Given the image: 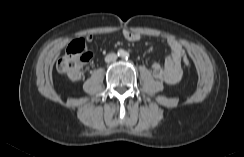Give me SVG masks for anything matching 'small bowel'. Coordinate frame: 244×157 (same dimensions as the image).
Instances as JSON below:
<instances>
[{"label": "small bowel", "mask_w": 244, "mask_h": 157, "mask_svg": "<svg viewBox=\"0 0 244 157\" xmlns=\"http://www.w3.org/2000/svg\"><path fill=\"white\" fill-rule=\"evenodd\" d=\"M123 36L126 40L131 42L139 41L141 38L139 33L131 32L129 30L123 31ZM86 39L88 42H91L93 40V36L88 35ZM166 42L171 53L163 65L158 62H153L152 71L156 79L167 84H175L179 82L182 77L181 63L185 52L182 46L175 39L168 38Z\"/></svg>", "instance_id": "c3829d8e"}]
</instances>
